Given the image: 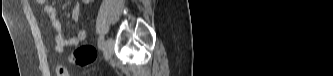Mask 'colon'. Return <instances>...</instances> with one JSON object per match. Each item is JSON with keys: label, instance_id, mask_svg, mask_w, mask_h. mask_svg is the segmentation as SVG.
Masks as SVG:
<instances>
[{"label": "colon", "instance_id": "1", "mask_svg": "<svg viewBox=\"0 0 333 76\" xmlns=\"http://www.w3.org/2000/svg\"><path fill=\"white\" fill-rule=\"evenodd\" d=\"M70 60L80 67H87L96 60L95 48L90 44H84L75 50Z\"/></svg>", "mask_w": 333, "mask_h": 76}]
</instances>
